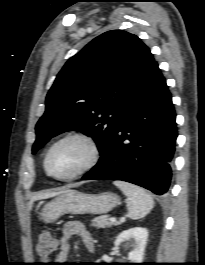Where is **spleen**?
<instances>
[{
	"mask_svg": "<svg viewBox=\"0 0 205 265\" xmlns=\"http://www.w3.org/2000/svg\"><path fill=\"white\" fill-rule=\"evenodd\" d=\"M114 185L127 196L128 216L131 219L143 218L154 207L152 196L143 188L123 181H114Z\"/></svg>",
	"mask_w": 205,
	"mask_h": 265,
	"instance_id": "3e777b00",
	"label": "spleen"
}]
</instances>
